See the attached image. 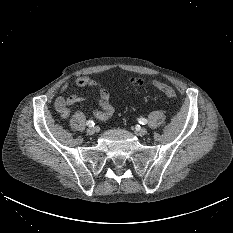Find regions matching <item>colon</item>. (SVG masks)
Returning <instances> with one entry per match:
<instances>
[{
    "mask_svg": "<svg viewBox=\"0 0 233 233\" xmlns=\"http://www.w3.org/2000/svg\"><path fill=\"white\" fill-rule=\"evenodd\" d=\"M141 83H142L141 80L136 79V78H134V79H132L130 81V84L134 85V86L140 85ZM153 86L155 88H157L159 91H161L162 93H164L169 98H175L176 97L175 90L171 86H169V85H167L165 83L155 81V82H153Z\"/></svg>",
    "mask_w": 233,
    "mask_h": 233,
    "instance_id": "colon-1",
    "label": "colon"
}]
</instances>
